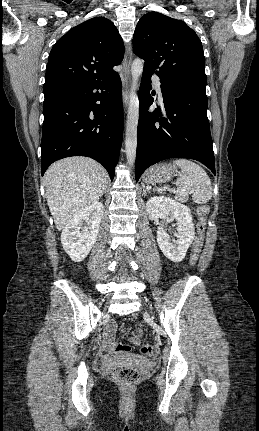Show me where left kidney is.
<instances>
[{"label":"left kidney","instance_id":"obj_1","mask_svg":"<svg viewBox=\"0 0 259 431\" xmlns=\"http://www.w3.org/2000/svg\"><path fill=\"white\" fill-rule=\"evenodd\" d=\"M146 212L150 220L166 219L176 220V239L170 242V236L159 227L157 230V242L163 254L173 262L184 259L186 252L194 240L195 228L192 222L191 210L188 206L169 197H152L146 203Z\"/></svg>","mask_w":259,"mask_h":431}]
</instances>
